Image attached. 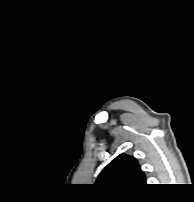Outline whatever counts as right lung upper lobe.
<instances>
[{"mask_svg":"<svg viewBox=\"0 0 194 202\" xmlns=\"http://www.w3.org/2000/svg\"><path fill=\"white\" fill-rule=\"evenodd\" d=\"M95 184L106 190L127 191L144 187L146 181L136 159L120 154L99 174Z\"/></svg>","mask_w":194,"mask_h":202,"instance_id":"cb5924a9","label":"right lung upper lobe"}]
</instances>
